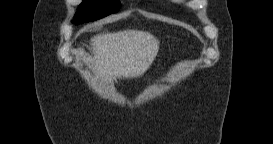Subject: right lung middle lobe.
I'll return each instance as SVG.
<instances>
[{
  "label": "right lung middle lobe",
  "mask_w": 273,
  "mask_h": 144,
  "mask_svg": "<svg viewBox=\"0 0 273 144\" xmlns=\"http://www.w3.org/2000/svg\"><path fill=\"white\" fill-rule=\"evenodd\" d=\"M118 0H84L74 16V23L94 21L119 10Z\"/></svg>",
  "instance_id": "obj_1"
}]
</instances>
